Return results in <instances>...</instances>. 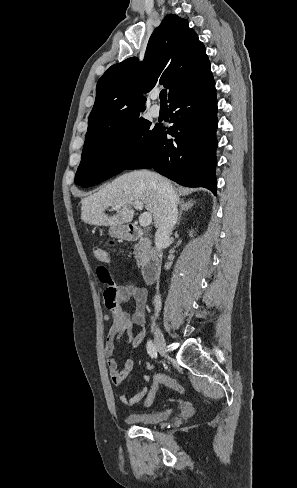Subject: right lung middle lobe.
<instances>
[{
    "instance_id": "right-lung-middle-lobe-1",
    "label": "right lung middle lobe",
    "mask_w": 297,
    "mask_h": 488,
    "mask_svg": "<svg viewBox=\"0 0 297 488\" xmlns=\"http://www.w3.org/2000/svg\"><path fill=\"white\" fill-rule=\"evenodd\" d=\"M140 117L85 140L75 183L88 187L126 170L148 147L158 133L155 126Z\"/></svg>"
}]
</instances>
